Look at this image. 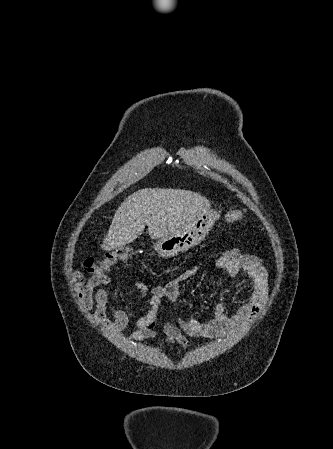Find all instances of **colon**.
I'll return each instance as SVG.
<instances>
[{"label":"colon","instance_id":"5ec220e1","mask_svg":"<svg viewBox=\"0 0 333 449\" xmlns=\"http://www.w3.org/2000/svg\"><path fill=\"white\" fill-rule=\"evenodd\" d=\"M244 210H233L225 214L226 223H234L244 218ZM132 255V250L128 247H121L107 251L102 255L87 258L83 263V268L91 274H104L118 262L127 260Z\"/></svg>","mask_w":333,"mask_h":449}]
</instances>
